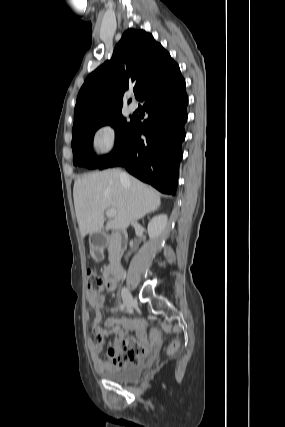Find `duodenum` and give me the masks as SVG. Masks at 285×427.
Instances as JSON below:
<instances>
[{
	"instance_id": "duodenum-1",
	"label": "duodenum",
	"mask_w": 285,
	"mask_h": 427,
	"mask_svg": "<svg viewBox=\"0 0 285 427\" xmlns=\"http://www.w3.org/2000/svg\"><path fill=\"white\" fill-rule=\"evenodd\" d=\"M120 242L121 244L126 242V237L125 236H120ZM105 278L108 281H117L118 279H120L123 275V267L120 261V255H112L111 257V263L110 265L106 268L105 272H104Z\"/></svg>"
}]
</instances>
